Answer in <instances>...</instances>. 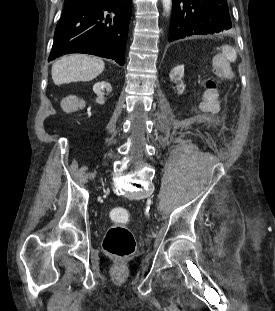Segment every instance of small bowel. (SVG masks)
I'll list each match as a JSON object with an SVG mask.
<instances>
[{
	"label": "small bowel",
	"mask_w": 275,
	"mask_h": 311,
	"mask_svg": "<svg viewBox=\"0 0 275 311\" xmlns=\"http://www.w3.org/2000/svg\"><path fill=\"white\" fill-rule=\"evenodd\" d=\"M220 56H211V73L206 74V80H200L199 108L200 112H209L214 115L215 112H222L221 105V87L222 80H227L232 76L231 67L233 62H239V51L232 48V46H220Z\"/></svg>",
	"instance_id": "1"
}]
</instances>
